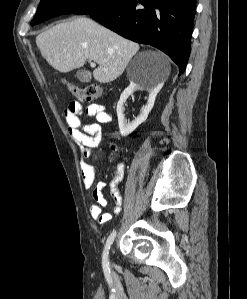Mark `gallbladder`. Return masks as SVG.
Returning <instances> with one entry per match:
<instances>
[{"label": "gallbladder", "instance_id": "gallbladder-1", "mask_svg": "<svg viewBox=\"0 0 247 299\" xmlns=\"http://www.w3.org/2000/svg\"><path fill=\"white\" fill-rule=\"evenodd\" d=\"M76 77L80 80V81H88L90 79L89 74L82 70L76 73Z\"/></svg>", "mask_w": 247, "mask_h": 299}]
</instances>
